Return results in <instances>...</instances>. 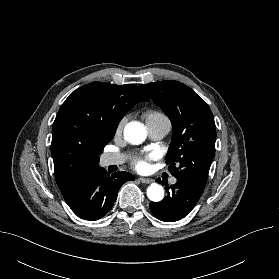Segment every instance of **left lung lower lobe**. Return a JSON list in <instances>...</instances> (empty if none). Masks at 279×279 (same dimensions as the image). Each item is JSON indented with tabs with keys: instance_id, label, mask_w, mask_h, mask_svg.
<instances>
[{
	"instance_id": "left-lung-lower-lobe-1",
	"label": "left lung lower lobe",
	"mask_w": 279,
	"mask_h": 279,
	"mask_svg": "<svg viewBox=\"0 0 279 279\" xmlns=\"http://www.w3.org/2000/svg\"><path fill=\"white\" fill-rule=\"evenodd\" d=\"M170 190L162 201L149 204L153 215L165 222L178 221L190 213L201 197L204 188L187 181L178 180L175 185L170 186Z\"/></svg>"
}]
</instances>
